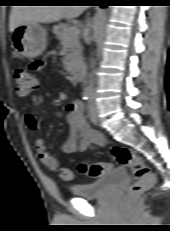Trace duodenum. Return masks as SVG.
Listing matches in <instances>:
<instances>
[{
    "label": "duodenum",
    "instance_id": "1",
    "mask_svg": "<svg viewBox=\"0 0 170 231\" xmlns=\"http://www.w3.org/2000/svg\"><path fill=\"white\" fill-rule=\"evenodd\" d=\"M85 71H86V68H85L84 64H82V63L76 65V66L72 69L73 74H74L75 77H77V78L83 77V76L85 75Z\"/></svg>",
    "mask_w": 170,
    "mask_h": 231
}]
</instances>
